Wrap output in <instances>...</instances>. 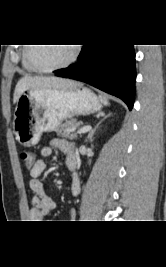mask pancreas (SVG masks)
<instances>
[{
    "label": "pancreas",
    "instance_id": "cf45deb5",
    "mask_svg": "<svg viewBox=\"0 0 166 267\" xmlns=\"http://www.w3.org/2000/svg\"><path fill=\"white\" fill-rule=\"evenodd\" d=\"M81 125H83L82 122H76L74 120L67 121L63 124H61L59 127L56 128L55 132L58 136L65 137V138H77L76 134H73L75 129H78Z\"/></svg>",
    "mask_w": 166,
    "mask_h": 267
}]
</instances>
